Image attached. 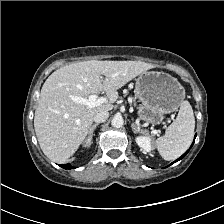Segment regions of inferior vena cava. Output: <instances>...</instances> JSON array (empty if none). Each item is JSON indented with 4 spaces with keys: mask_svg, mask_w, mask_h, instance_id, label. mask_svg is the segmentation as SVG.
Listing matches in <instances>:
<instances>
[{
    "mask_svg": "<svg viewBox=\"0 0 224 224\" xmlns=\"http://www.w3.org/2000/svg\"><path fill=\"white\" fill-rule=\"evenodd\" d=\"M108 117H109L108 111H100L95 115L94 121L96 123H103L108 119Z\"/></svg>",
    "mask_w": 224,
    "mask_h": 224,
    "instance_id": "1",
    "label": "inferior vena cava"
}]
</instances>
